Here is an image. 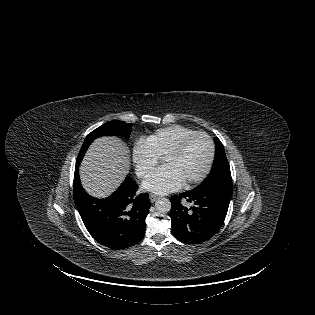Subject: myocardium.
Masks as SVG:
<instances>
[{"instance_id":"myocardium-1","label":"myocardium","mask_w":315,"mask_h":315,"mask_svg":"<svg viewBox=\"0 0 315 315\" xmlns=\"http://www.w3.org/2000/svg\"><path fill=\"white\" fill-rule=\"evenodd\" d=\"M197 136H203L206 138L208 145H209V154H208V159H207L206 165H205L204 169L202 170V172L199 175H197L196 177L185 181V184L188 186L203 181L208 176V174L212 168L214 157H215V145H214V142H213V139L211 138V136L209 134H207L206 132L196 131V132L189 134V135L185 136L184 138H182L177 144H175L163 156V160H165L167 158L175 157V156L181 154L183 152V150L185 149L186 145L193 138H195Z\"/></svg>"}]
</instances>
